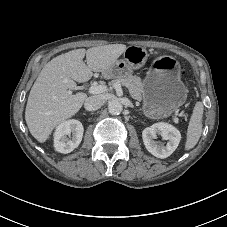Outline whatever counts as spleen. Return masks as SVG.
Listing matches in <instances>:
<instances>
[{
	"instance_id": "1",
	"label": "spleen",
	"mask_w": 227,
	"mask_h": 227,
	"mask_svg": "<svg viewBox=\"0 0 227 227\" xmlns=\"http://www.w3.org/2000/svg\"><path fill=\"white\" fill-rule=\"evenodd\" d=\"M202 117H203V104L197 102L195 104L193 114L190 118L187 137L185 143V150L188 151L195 147L202 134Z\"/></svg>"
}]
</instances>
